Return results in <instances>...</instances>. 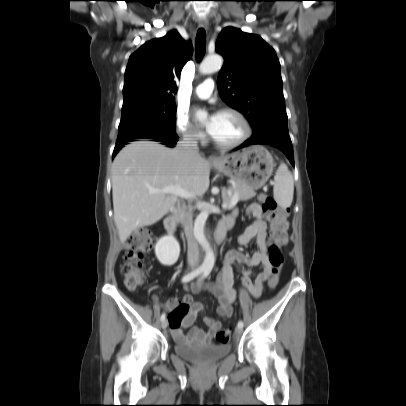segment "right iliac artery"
I'll return each instance as SVG.
<instances>
[{"label": "right iliac artery", "instance_id": "obj_1", "mask_svg": "<svg viewBox=\"0 0 406 406\" xmlns=\"http://www.w3.org/2000/svg\"><path fill=\"white\" fill-rule=\"evenodd\" d=\"M204 271H205V268H203V267L197 268L196 270H194V271H192V272L186 274L185 276H183L182 282H183V283L189 282V281H191L192 279H194L195 277H197V276H199L200 274H202ZM165 318H166V314L163 313V314L161 315V321L163 322V321L165 320Z\"/></svg>", "mask_w": 406, "mask_h": 406}]
</instances>
